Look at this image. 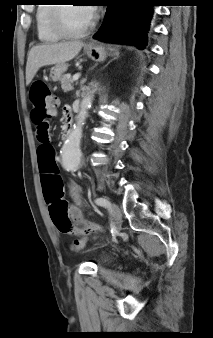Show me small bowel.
<instances>
[{
	"instance_id": "1",
	"label": "small bowel",
	"mask_w": 213,
	"mask_h": 338,
	"mask_svg": "<svg viewBox=\"0 0 213 338\" xmlns=\"http://www.w3.org/2000/svg\"><path fill=\"white\" fill-rule=\"evenodd\" d=\"M63 113L65 115V118L67 119V116L69 113H71V109L69 106H65L63 108ZM47 123V121H46ZM43 146L50 147L48 144H42L41 148ZM39 172H40V179L43 187V194H44V200L48 207L50 216H51V207L58 203V202H65L62 198V191H63V182L60 175L59 166L53 156H50L49 158H46L42 151L39 153ZM69 191L72 197L79 202L81 197V191L79 187L72 183L69 186ZM68 213L73 218V224L76 227V229L81 228L85 224L84 217L82 216L79 208L74 205H68ZM52 218V216H51ZM53 220V219H52ZM55 223V222H54ZM56 227L63 233H71L73 231L71 224L67 220L64 226H58L55 223ZM96 230V227L94 226L93 231Z\"/></svg>"
}]
</instances>
